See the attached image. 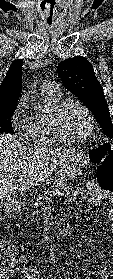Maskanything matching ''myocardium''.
I'll list each match as a JSON object with an SVG mask.
<instances>
[{"instance_id":"myocardium-1","label":"myocardium","mask_w":113,"mask_h":279,"mask_svg":"<svg viewBox=\"0 0 113 279\" xmlns=\"http://www.w3.org/2000/svg\"><path fill=\"white\" fill-rule=\"evenodd\" d=\"M70 104H76L77 106H79L88 120V130L86 134L81 137L66 136L59 127L58 119L64 108ZM49 123L55 139L60 143L66 144H80L87 141L93 135L95 128V122L92 113L84 103L75 98H66L62 101H59V103L54 107V109L50 113Z\"/></svg>"}]
</instances>
